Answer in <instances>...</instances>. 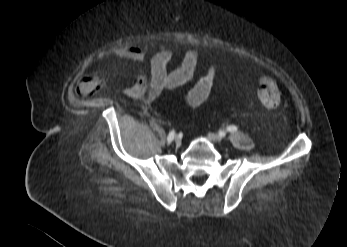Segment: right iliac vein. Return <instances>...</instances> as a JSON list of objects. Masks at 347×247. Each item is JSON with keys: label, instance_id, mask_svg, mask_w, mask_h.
I'll return each instance as SVG.
<instances>
[{"label": "right iliac vein", "instance_id": "obj_1", "mask_svg": "<svg viewBox=\"0 0 347 247\" xmlns=\"http://www.w3.org/2000/svg\"><path fill=\"white\" fill-rule=\"evenodd\" d=\"M174 141L176 144H180L181 143V138L179 136H175Z\"/></svg>", "mask_w": 347, "mask_h": 247}]
</instances>
